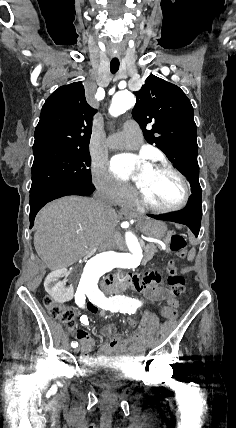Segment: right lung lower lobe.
Listing matches in <instances>:
<instances>
[{
	"mask_svg": "<svg viewBox=\"0 0 236 428\" xmlns=\"http://www.w3.org/2000/svg\"><path fill=\"white\" fill-rule=\"evenodd\" d=\"M95 190L92 184H63L30 193V228L38 211L48 202L67 195L88 196Z\"/></svg>",
	"mask_w": 236,
	"mask_h": 428,
	"instance_id": "right-lung-lower-lobe-1",
	"label": "right lung lower lobe"
}]
</instances>
